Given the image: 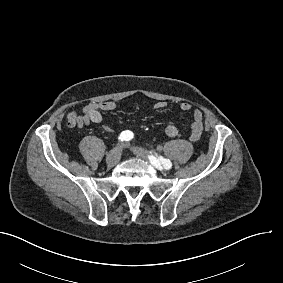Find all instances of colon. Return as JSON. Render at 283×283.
<instances>
[{
  "instance_id": "colon-1",
  "label": "colon",
  "mask_w": 283,
  "mask_h": 283,
  "mask_svg": "<svg viewBox=\"0 0 283 283\" xmlns=\"http://www.w3.org/2000/svg\"><path fill=\"white\" fill-rule=\"evenodd\" d=\"M78 123H79V121H78L76 112L69 113L68 116H67L66 127L72 128V127L78 125ZM177 134H178V128L176 126H168L164 130V135L167 138H175L177 136Z\"/></svg>"
}]
</instances>
